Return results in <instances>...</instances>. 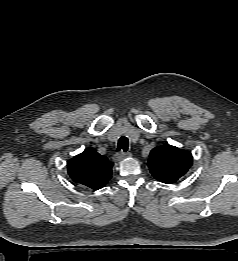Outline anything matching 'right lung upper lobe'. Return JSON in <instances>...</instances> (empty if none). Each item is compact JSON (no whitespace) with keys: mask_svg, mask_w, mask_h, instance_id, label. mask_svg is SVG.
Wrapping results in <instances>:
<instances>
[{"mask_svg":"<svg viewBox=\"0 0 238 261\" xmlns=\"http://www.w3.org/2000/svg\"><path fill=\"white\" fill-rule=\"evenodd\" d=\"M112 166L105 156L92 149L84 150L67 162L71 179L93 190L101 189L110 180Z\"/></svg>","mask_w":238,"mask_h":261,"instance_id":"1","label":"right lung upper lobe"}]
</instances>
